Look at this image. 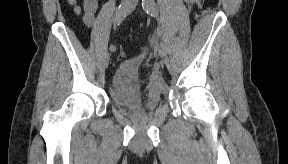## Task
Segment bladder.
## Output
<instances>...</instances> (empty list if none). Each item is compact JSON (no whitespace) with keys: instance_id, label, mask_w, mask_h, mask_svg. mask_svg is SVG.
I'll use <instances>...</instances> for the list:
<instances>
[{"instance_id":"bladder-1","label":"bladder","mask_w":288,"mask_h":164,"mask_svg":"<svg viewBox=\"0 0 288 164\" xmlns=\"http://www.w3.org/2000/svg\"><path fill=\"white\" fill-rule=\"evenodd\" d=\"M140 63V58H130L120 64L112 75L109 99L122 112L154 111L158 106V93L150 89L144 90L140 84L137 76Z\"/></svg>"}]
</instances>
